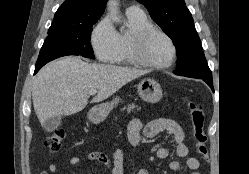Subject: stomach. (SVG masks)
Returning a JSON list of instances; mask_svg holds the SVG:
<instances>
[{
  "label": "stomach",
  "instance_id": "stomach-1",
  "mask_svg": "<svg viewBox=\"0 0 249 174\" xmlns=\"http://www.w3.org/2000/svg\"><path fill=\"white\" fill-rule=\"evenodd\" d=\"M139 96L148 103H156L162 97V89L159 83L153 79H144L138 84ZM119 98L116 97L111 102L102 103L95 106L88 113L89 119L93 123H99L103 121L111 112L114 106L119 103Z\"/></svg>",
  "mask_w": 249,
  "mask_h": 174
}]
</instances>
